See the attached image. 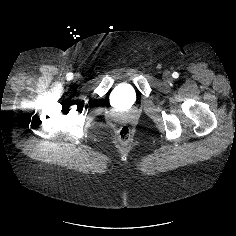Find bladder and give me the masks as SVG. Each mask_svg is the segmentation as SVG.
I'll list each match as a JSON object with an SVG mask.
<instances>
[{"instance_id": "obj_1", "label": "bladder", "mask_w": 236, "mask_h": 236, "mask_svg": "<svg viewBox=\"0 0 236 236\" xmlns=\"http://www.w3.org/2000/svg\"><path fill=\"white\" fill-rule=\"evenodd\" d=\"M111 103L118 112H127L135 104L134 91L126 86L117 87L112 94Z\"/></svg>"}]
</instances>
